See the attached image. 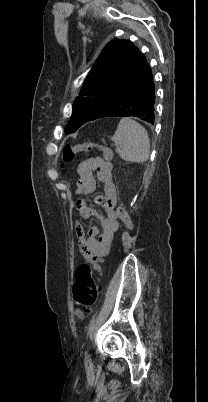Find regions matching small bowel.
I'll list each match as a JSON object with an SVG mask.
<instances>
[{"mask_svg": "<svg viewBox=\"0 0 208 402\" xmlns=\"http://www.w3.org/2000/svg\"><path fill=\"white\" fill-rule=\"evenodd\" d=\"M112 170V162L102 157L88 158L82 161L76 168L79 176L76 189L78 195L83 196L94 192L96 181L102 183L104 187V194L99 199V204L104 210V215H99L87 204L83 197H79L76 201V209L82 217L90 218L97 216L101 221V230L95 226L90 227L89 234L92 238H86L84 229L80 223H76L74 227L79 250L96 267H98V261L106 254L119 228V222L114 211L116 190Z\"/></svg>", "mask_w": 208, "mask_h": 402, "instance_id": "c3829d8e", "label": "small bowel"}]
</instances>
